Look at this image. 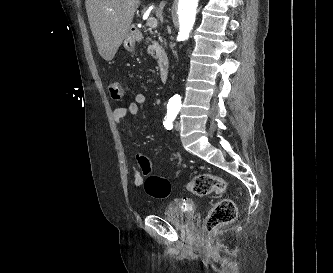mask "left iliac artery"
<instances>
[{"label": "left iliac artery", "mask_w": 333, "mask_h": 273, "mask_svg": "<svg viewBox=\"0 0 333 273\" xmlns=\"http://www.w3.org/2000/svg\"><path fill=\"white\" fill-rule=\"evenodd\" d=\"M178 111L176 109H168L167 115L163 121V125L167 130H171L173 128V121L175 120Z\"/></svg>", "instance_id": "1"}]
</instances>
